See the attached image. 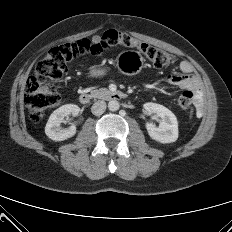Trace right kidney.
I'll list each match as a JSON object with an SVG mask.
<instances>
[{
  "label": "right kidney",
  "mask_w": 232,
  "mask_h": 232,
  "mask_svg": "<svg viewBox=\"0 0 232 232\" xmlns=\"http://www.w3.org/2000/svg\"><path fill=\"white\" fill-rule=\"evenodd\" d=\"M80 108L74 104H66L56 109L49 117L45 127L46 135L53 141H63L71 138L76 133V126L72 124L69 128H62L61 123L68 115L77 116Z\"/></svg>",
  "instance_id": "obj_1"
}]
</instances>
